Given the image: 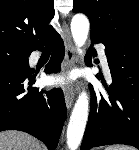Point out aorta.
Instances as JSON below:
<instances>
[{
    "instance_id": "762f6f07",
    "label": "aorta",
    "mask_w": 139,
    "mask_h": 150,
    "mask_svg": "<svg viewBox=\"0 0 139 150\" xmlns=\"http://www.w3.org/2000/svg\"><path fill=\"white\" fill-rule=\"evenodd\" d=\"M89 20L84 14H76L71 21V33L78 53L83 54L81 47L85 44L89 32ZM89 114V97L85 91L79 94L67 128V145L69 150L79 147Z\"/></svg>"
}]
</instances>
